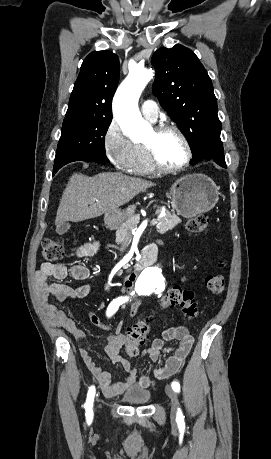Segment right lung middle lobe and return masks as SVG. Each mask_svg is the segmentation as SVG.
Masks as SVG:
<instances>
[{"label": "right lung middle lobe", "instance_id": "1", "mask_svg": "<svg viewBox=\"0 0 271 459\" xmlns=\"http://www.w3.org/2000/svg\"><path fill=\"white\" fill-rule=\"evenodd\" d=\"M112 116L66 115L57 146L55 163L71 156L84 155L109 162L105 155V134Z\"/></svg>", "mask_w": 271, "mask_h": 459}]
</instances>
